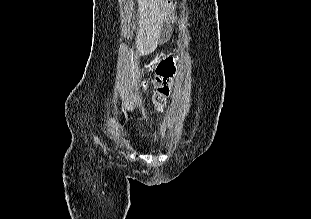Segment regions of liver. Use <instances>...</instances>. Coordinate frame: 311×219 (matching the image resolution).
Segmentation results:
<instances>
[{
    "label": "liver",
    "mask_w": 311,
    "mask_h": 219,
    "mask_svg": "<svg viewBox=\"0 0 311 219\" xmlns=\"http://www.w3.org/2000/svg\"><path fill=\"white\" fill-rule=\"evenodd\" d=\"M138 3L140 29L136 38V47L138 51L148 53L157 45L168 0H138Z\"/></svg>",
    "instance_id": "6515ba94"
}]
</instances>
